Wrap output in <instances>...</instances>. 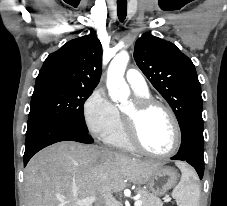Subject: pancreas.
<instances>
[{
	"label": "pancreas",
	"mask_w": 227,
	"mask_h": 206,
	"mask_svg": "<svg viewBox=\"0 0 227 206\" xmlns=\"http://www.w3.org/2000/svg\"><path fill=\"white\" fill-rule=\"evenodd\" d=\"M138 194L140 195L142 206H163V202L154 193L139 189Z\"/></svg>",
	"instance_id": "1"
}]
</instances>
